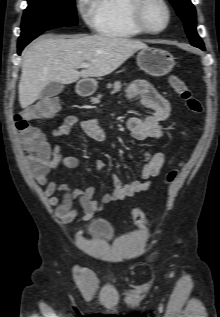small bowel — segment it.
Returning a JSON list of instances; mask_svg holds the SVG:
<instances>
[{
    "label": "small bowel",
    "mask_w": 220,
    "mask_h": 317,
    "mask_svg": "<svg viewBox=\"0 0 220 317\" xmlns=\"http://www.w3.org/2000/svg\"><path fill=\"white\" fill-rule=\"evenodd\" d=\"M126 99L128 101L138 100L142 106L151 111V115L147 117H131L128 120V129L131 136L137 140L163 137L165 129L162 122L170 114L169 101L146 80H137L131 83L126 90ZM78 123L79 121L75 116H68L52 132L55 142L52 146V155L49 162L42 168L30 166L36 182L45 187L44 195L47 197L49 205L55 207V215L62 223L88 220L110 202L123 200L136 193L147 191L151 186V179L160 173L165 161V154L162 151L154 154L144 151V166L140 178L130 184H123L119 176L113 174L114 190L106 194L101 201H96L93 198L94 187L72 189L68 184H58L48 178L50 171L59 166L66 169H74L79 166V158L65 155L60 141ZM80 127L85 135L93 140L103 142L109 139L106 130L94 119L81 121ZM105 167L104 160L98 159L95 161L96 170L100 171ZM75 201L80 204L84 211L81 217L78 216V210L74 207Z\"/></svg>",
    "instance_id": "1"
}]
</instances>
